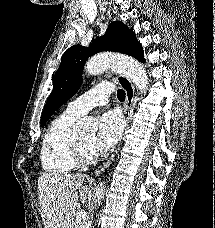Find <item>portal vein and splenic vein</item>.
I'll return each instance as SVG.
<instances>
[{
	"instance_id": "1",
	"label": "portal vein and splenic vein",
	"mask_w": 215,
	"mask_h": 228,
	"mask_svg": "<svg viewBox=\"0 0 215 228\" xmlns=\"http://www.w3.org/2000/svg\"><path fill=\"white\" fill-rule=\"evenodd\" d=\"M85 218H86V212H84V210L83 212H78V214H76L77 222H84Z\"/></svg>"
}]
</instances>
